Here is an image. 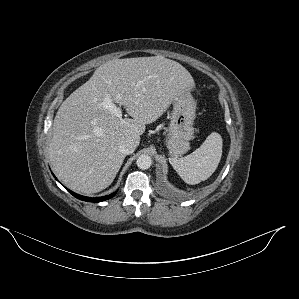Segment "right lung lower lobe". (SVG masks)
I'll list each match as a JSON object with an SVG mask.
<instances>
[{
    "label": "right lung lower lobe",
    "mask_w": 299,
    "mask_h": 299,
    "mask_svg": "<svg viewBox=\"0 0 299 299\" xmlns=\"http://www.w3.org/2000/svg\"><path fill=\"white\" fill-rule=\"evenodd\" d=\"M68 190V189H67ZM74 197L80 199V200H84V201H88V202H100V201H104V200H107V199H110L112 198L116 192H114L113 194H110V195H107V196H103V197H97V198H90V197H84V196H81V195H78L70 190H68Z\"/></svg>",
    "instance_id": "1"
}]
</instances>
